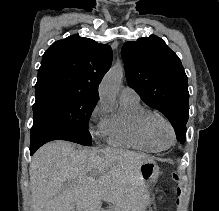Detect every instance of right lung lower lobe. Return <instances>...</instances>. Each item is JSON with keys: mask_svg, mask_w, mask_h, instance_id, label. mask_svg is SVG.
<instances>
[{"mask_svg": "<svg viewBox=\"0 0 219 211\" xmlns=\"http://www.w3.org/2000/svg\"><path fill=\"white\" fill-rule=\"evenodd\" d=\"M52 140H66L78 144L81 143V138L74 133L53 128H37L34 131L31 130L30 154H34L39 147Z\"/></svg>", "mask_w": 219, "mask_h": 211, "instance_id": "98d812e1", "label": "right lung lower lobe"}]
</instances>
